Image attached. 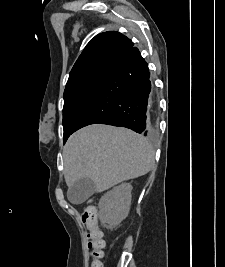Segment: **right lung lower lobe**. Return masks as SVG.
Here are the masks:
<instances>
[{
  "label": "right lung lower lobe",
  "instance_id": "1",
  "mask_svg": "<svg viewBox=\"0 0 225 267\" xmlns=\"http://www.w3.org/2000/svg\"><path fill=\"white\" fill-rule=\"evenodd\" d=\"M151 81L148 64L137 47L124 51L114 61L80 110L72 132L90 124L129 128L150 133Z\"/></svg>",
  "mask_w": 225,
  "mask_h": 267
}]
</instances>
